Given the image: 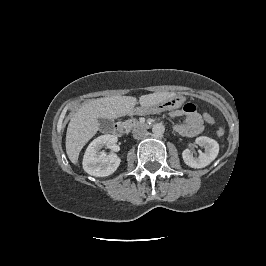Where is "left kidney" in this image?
Instances as JSON below:
<instances>
[{
    "label": "left kidney",
    "instance_id": "5707ae66",
    "mask_svg": "<svg viewBox=\"0 0 266 266\" xmlns=\"http://www.w3.org/2000/svg\"><path fill=\"white\" fill-rule=\"evenodd\" d=\"M195 142L204 147L205 152L198 157H194L189 149L182 152V157L186 165L191 168H204L209 165L219 153V144L214 139L206 136L197 137Z\"/></svg>",
    "mask_w": 266,
    "mask_h": 266
}]
</instances>
